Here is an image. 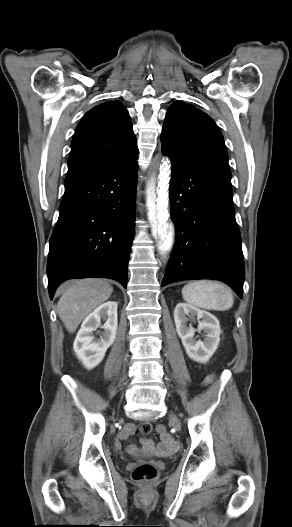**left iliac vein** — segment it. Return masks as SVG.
Segmentation results:
<instances>
[{
	"label": "left iliac vein",
	"mask_w": 292,
	"mask_h": 527,
	"mask_svg": "<svg viewBox=\"0 0 292 527\" xmlns=\"http://www.w3.org/2000/svg\"><path fill=\"white\" fill-rule=\"evenodd\" d=\"M170 420L173 422V424L179 428L180 424H179V420L177 418V416L174 414V413H171L170 414Z\"/></svg>",
	"instance_id": "obj_1"
}]
</instances>
